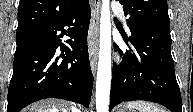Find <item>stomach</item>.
<instances>
[{"instance_id": "stomach-1", "label": "stomach", "mask_w": 193, "mask_h": 112, "mask_svg": "<svg viewBox=\"0 0 193 112\" xmlns=\"http://www.w3.org/2000/svg\"><path fill=\"white\" fill-rule=\"evenodd\" d=\"M118 112H131V110H127V109H120Z\"/></svg>"}]
</instances>
